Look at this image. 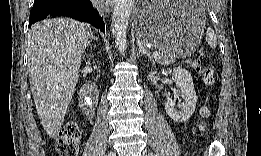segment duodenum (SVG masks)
<instances>
[{
	"label": "duodenum",
	"mask_w": 261,
	"mask_h": 156,
	"mask_svg": "<svg viewBox=\"0 0 261 156\" xmlns=\"http://www.w3.org/2000/svg\"><path fill=\"white\" fill-rule=\"evenodd\" d=\"M81 108L87 116H92L95 109V91L92 85L83 87L80 93Z\"/></svg>",
	"instance_id": "duodenum-1"
}]
</instances>
